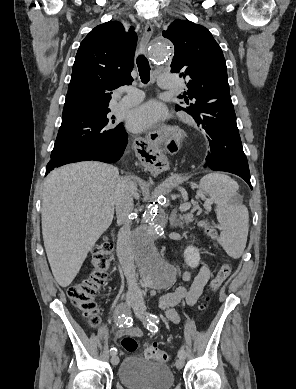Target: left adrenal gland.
Returning a JSON list of instances; mask_svg holds the SVG:
<instances>
[{
    "label": "left adrenal gland",
    "instance_id": "a2214340",
    "mask_svg": "<svg viewBox=\"0 0 296 389\" xmlns=\"http://www.w3.org/2000/svg\"><path fill=\"white\" fill-rule=\"evenodd\" d=\"M169 223L172 228L180 227L183 228V222L181 216L178 217L177 215V209H174L171 212V215L169 217Z\"/></svg>",
    "mask_w": 296,
    "mask_h": 389
}]
</instances>
